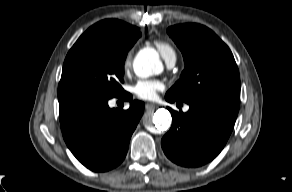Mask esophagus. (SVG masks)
I'll use <instances>...</instances> for the list:
<instances>
[{
    "label": "esophagus",
    "mask_w": 292,
    "mask_h": 192,
    "mask_svg": "<svg viewBox=\"0 0 292 192\" xmlns=\"http://www.w3.org/2000/svg\"><path fill=\"white\" fill-rule=\"evenodd\" d=\"M157 107H158V105L155 104V103H147V104L145 105V108H146L147 110L155 109V108H157Z\"/></svg>",
    "instance_id": "1"
}]
</instances>
